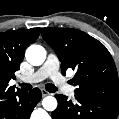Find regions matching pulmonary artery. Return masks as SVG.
I'll list each match as a JSON object with an SVG mask.
<instances>
[{"instance_id": "1", "label": "pulmonary artery", "mask_w": 119, "mask_h": 119, "mask_svg": "<svg viewBox=\"0 0 119 119\" xmlns=\"http://www.w3.org/2000/svg\"><path fill=\"white\" fill-rule=\"evenodd\" d=\"M51 78L58 87L69 95H73L74 88L66 83V79L59 72V60L54 54H49L45 63L32 75L20 77L24 83H35Z\"/></svg>"}]
</instances>
